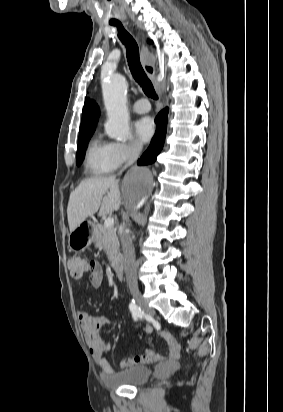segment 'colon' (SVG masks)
Instances as JSON below:
<instances>
[{
  "label": "colon",
  "mask_w": 283,
  "mask_h": 412,
  "mask_svg": "<svg viewBox=\"0 0 283 412\" xmlns=\"http://www.w3.org/2000/svg\"><path fill=\"white\" fill-rule=\"evenodd\" d=\"M67 268L70 275L75 278H81L85 273L95 269L94 260H84L80 257L73 256L67 261Z\"/></svg>",
  "instance_id": "1"
}]
</instances>
